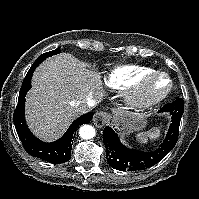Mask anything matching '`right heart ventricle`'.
I'll use <instances>...</instances> for the list:
<instances>
[{
    "mask_svg": "<svg viewBox=\"0 0 199 199\" xmlns=\"http://www.w3.org/2000/svg\"><path fill=\"white\" fill-rule=\"evenodd\" d=\"M154 71L156 70L143 65H121L109 72L105 78V84L117 91L131 89Z\"/></svg>",
    "mask_w": 199,
    "mask_h": 199,
    "instance_id": "obj_1",
    "label": "right heart ventricle"
}]
</instances>
